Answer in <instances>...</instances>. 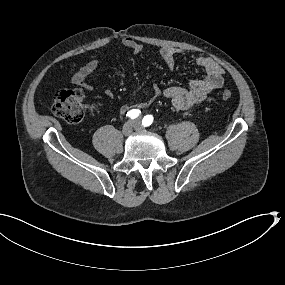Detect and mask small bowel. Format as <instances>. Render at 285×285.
I'll list each match as a JSON object with an SVG mask.
<instances>
[{"instance_id": "obj_1", "label": "small bowel", "mask_w": 285, "mask_h": 285, "mask_svg": "<svg viewBox=\"0 0 285 285\" xmlns=\"http://www.w3.org/2000/svg\"><path fill=\"white\" fill-rule=\"evenodd\" d=\"M121 44L135 54H139L143 50V46L130 37L123 38ZM182 53V50L173 47H165L160 51L162 59L169 66H173L176 56ZM193 58L204 71L202 78L191 80L187 87L169 86L167 88H161L157 83H154L150 98L135 105H123L120 107V112L128 113L131 108H145L160 94L165 95L177 110L188 109L206 100L212 91L223 86L224 71L217 62L209 57L196 55L193 56ZM98 67V60L94 59L89 61L73 74L72 83L83 90H91L93 86L87 81V78L91 76ZM106 95L112 97L113 91L107 89Z\"/></svg>"}]
</instances>
